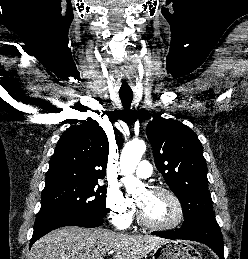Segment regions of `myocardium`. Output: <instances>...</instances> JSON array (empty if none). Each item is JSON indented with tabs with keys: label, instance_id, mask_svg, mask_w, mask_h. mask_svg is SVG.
<instances>
[{
	"label": "myocardium",
	"instance_id": "f54148a6",
	"mask_svg": "<svg viewBox=\"0 0 248 259\" xmlns=\"http://www.w3.org/2000/svg\"><path fill=\"white\" fill-rule=\"evenodd\" d=\"M149 191L154 193L166 194L174 202L177 209V215H176V218L171 223L163 224V225L153 224L145 219L142 213V210L139 207L138 209L139 224L144 228L153 230V231H169L177 228L181 224L184 218V207L179 197L171 189L163 186H151L149 188Z\"/></svg>",
	"mask_w": 248,
	"mask_h": 259
}]
</instances>
